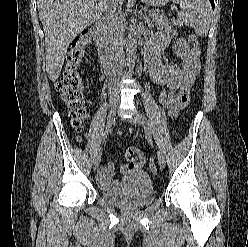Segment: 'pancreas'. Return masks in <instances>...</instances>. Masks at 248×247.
I'll return each instance as SVG.
<instances>
[{"label":"pancreas","mask_w":248,"mask_h":247,"mask_svg":"<svg viewBox=\"0 0 248 247\" xmlns=\"http://www.w3.org/2000/svg\"><path fill=\"white\" fill-rule=\"evenodd\" d=\"M149 24H155L158 28L168 27V20L165 18L164 13L160 11H154L151 15H149ZM175 24H179L178 21L172 20Z\"/></svg>","instance_id":"pancreas-1"}]
</instances>
